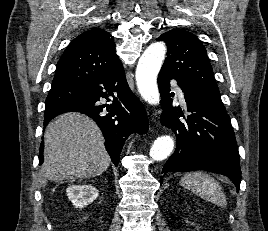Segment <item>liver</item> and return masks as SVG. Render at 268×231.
I'll return each mask as SVG.
<instances>
[{"label": "liver", "instance_id": "obj_1", "mask_svg": "<svg viewBox=\"0 0 268 231\" xmlns=\"http://www.w3.org/2000/svg\"><path fill=\"white\" fill-rule=\"evenodd\" d=\"M45 179H87L104 173L110 157L97 124L76 112L64 113L52 120L44 134Z\"/></svg>", "mask_w": 268, "mask_h": 231}]
</instances>
